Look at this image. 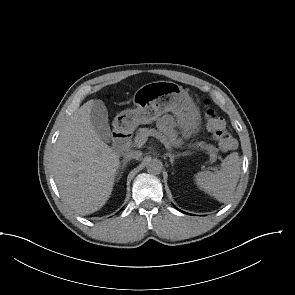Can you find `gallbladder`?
<instances>
[{
    "instance_id": "gallbladder-1",
    "label": "gallbladder",
    "mask_w": 295,
    "mask_h": 295,
    "mask_svg": "<svg viewBox=\"0 0 295 295\" xmlns=\"http://www.w3.org/2000/svg\"><path fill=\"white\" fill-rule=\"evenodd\" d=\"M90 120L95 131L105 141L111 139V131L108 122V111L103 101L95 100L90 113Z\"/></svg>"
}]
</instances>
